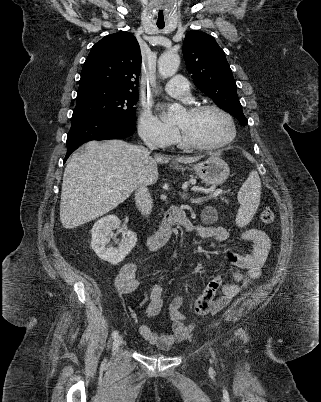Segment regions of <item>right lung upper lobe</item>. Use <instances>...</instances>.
Returning a JSON list of instances; mask_svg holds the SVG:
<instances>
[{"label": "right lung upper lobe", "instance_id": "cb5924a9", "mask_svg": "<svg viewBox=\"0 0 321 402\" xmlns=\"http://www.w3.org/2000/svg\"><path fill=\"white\" fill-rule=\"evenodd\" d=\"M141 61L138 41L131 33L105 36L91 48L79 87L100 86L138 94Z\"/></svg>", "mask_w": 321, "mask_h": 402}]
</instances>
